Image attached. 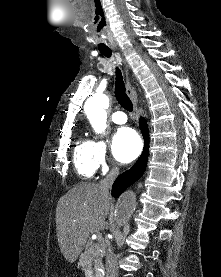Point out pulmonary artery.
<instances>
[{
    "label": "pulmonary artery",
    "instance_id": "1",
    "mask_svg": "<svg viewBox=\"0 0 221 277\" xmlns=\"http://www.w3.org/2000/svg\"><path fill=\"white\" fill-rule=\"evenodd\" d=\"M111 119L116 124H124L127 121V116L122 111H116L112 114Z\"/></svg>",
    "mask_w": 221,
    "mask_h": 277
}]
</instances>
